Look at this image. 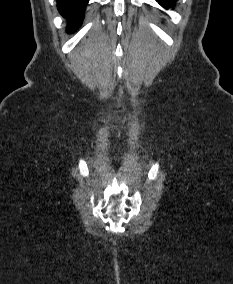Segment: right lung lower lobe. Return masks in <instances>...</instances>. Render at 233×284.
I'll list each match as a JSON object with an SVG mask.
<instances>
[{
    "label": "right lung lower lobe",
    "instance_id": "98d812e1",
    "mask_svg": "<svg viewBox=\"0 0 233 284\" xmlns=\"http://www.w3.org/2000/svg\"><path fill=\"white\" fill-rule=\"evenodd\" d=\"M89 0H57V8L68 22V31H75L81 24Z\"/></svg>",
    "mask_w": 233,
    "mask_h": 284
}]
</instances>
